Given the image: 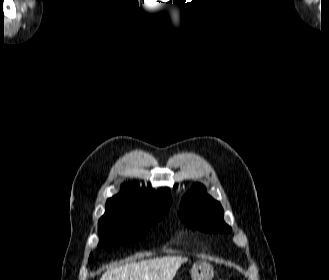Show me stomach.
I'll return each mask as SVG.
<instances>
[{"label":"stomach","mask_w":329,"mask_h":280,"mask_svg":"<svg viewBox=\"0 0 329 280\" xmlns=\"http://www.w3.org/2000/svg\"><path fill=\"white\" fill-rule=\"evenodd\" d=\"M213 275V266L205 261L196 262L191 268L192 280H212Z\"/></svg>","instance_id":"0dacf381"}]
</instances>
